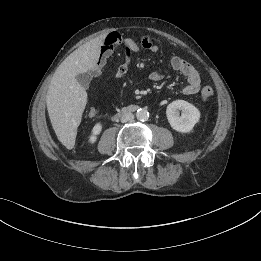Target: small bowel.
<instances>
[{
  "label": "small bowel",
  "instance_id": "small-bowel-1",
  "mask_svg": "<svg viewBox=\"0 0 261 261\" xmlns=\"http://www.w3.org/2000/svg\"><path fill=\"white\" fill-rule=\"evenodd\" d=\"M119 46L123 48V61L116 70L115 76L117 79L123 78L127 74L134 54L139 53L141 50H146L151 53H157L159 51L158 45L149 35H143L140 41L136 42L132 39L124 38L116 32L110 33L103 40L101 57L98 65L94 68V75L98 76L101 73L102 66ZM170 68L186 78L187 83L182 90L184 95H195L200 91V75L190 63L179 56H173L170 59ZM163 78L164 73L160 70H155L150 74V79L153 81H160ZM95 114L96 111L94 109L89 111L90 117L95 116Z\"/></svg>",
  "mask_w": 261,
  "mask_h": 261
}]
</instances>
